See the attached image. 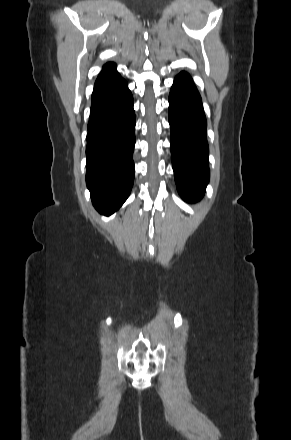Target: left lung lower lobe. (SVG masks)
Instances as JSON below:
<instances>
[{"label":"left lung lower lobe","mask_w":291,"mask_h":440,"mask_svg":"<svg viewBox=\"0 0 291 440\" xmlns=\"http://www.w3.org/2000/svg\"><path fill=\"white\" fill-rule=\"evenodd\" d=\"M171 158L177 189L187 202L200 200L209 181L206 118L199 92L186 72L169 96Z\"/></svg>","instance_id":"0a47b994"}]
</instances>
